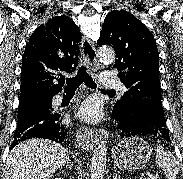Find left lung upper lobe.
I'll list each match as a JSON object with an SVG mask.
<instances>
[{
	"mask_svg": "<svg viewBox=\"0 0 183 179\" xmlns=\"http://www.w3.org/2000/svg\"><path fill=\"white\" fill-rule=\"evenodd\" d=\"M97 44L113 46L114 68L118 69L119 77L128 89L113 111L134 113L155 126L166 128L159 56L152 33L131 13L114 10L105 17Z\"/></svg>",
	"mask_w": 183,
	"mask_h": 179,
	"instance_id": "1",
	"label": "left lung upper lobe"
}]
</instances>
